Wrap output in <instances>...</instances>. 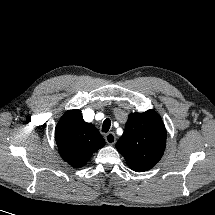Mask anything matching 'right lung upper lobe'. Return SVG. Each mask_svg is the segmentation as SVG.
<instances>
[{
  "label": "right lung upper lobe",
  "mask_w": 215,
  "mask_h": 215,
  "mask_svg": "<svg viewBox=\"0 0 215 215\" xmlns=\"http://www.w3.org/2000/svg\"><path fill=\"white\" fill-rule=\"evenodd\" d=\"M55 140L61 157L74 168L88 162L105 141L91 123L83 120L80 110H68L55 129Z\"/></svg>",
  "instance_id": "right-lung-upper-lobe-1"
}]
</instances>
